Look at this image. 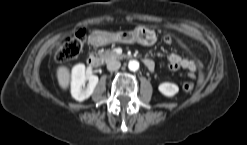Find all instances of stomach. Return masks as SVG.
<instances>
[{"instance_id": "1", "label": "stomach", "mask_w": 247, "mask_h": 145, "mask_svg": "<svg viewBox=\"0 0 247 145\" xmlns=\"http://www.w3.org/2000/svg\"><path fill=\"white\" fill-rule=\"evenodd\" d=\"M107 42L119 41L124 43L138 42L140 44L151 46L153 45L157 38L155 31L146 27L139 26L133 31H123L116 34H107Z\"/></svg>"}]
</instances>
